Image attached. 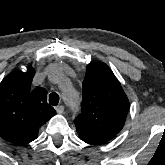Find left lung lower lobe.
<instances>
[{
    "mask_svg": "<svg viewBox=\"0 0 165 165\" xmlns=\"http://www.w3.org/2000/svg\"><path fill=\"white\" fill-rule=\"evenodd\" d=\"M79 137H80L81 140H83L84 142H86L88 144H92V145L97 144L95 141H93V140H91L89 138H86V137H84L82 135H79Z\"/></svg>",
    "mask_w": 165,
    "mask_h": 165,
    "instance_id": "0a47b994",
    "label": "left lung lower lobe"
}]
</instances>
